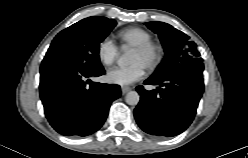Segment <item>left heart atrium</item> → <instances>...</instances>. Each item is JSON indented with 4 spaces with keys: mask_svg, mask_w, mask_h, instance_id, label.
Wrapping results in <instances>:
<instances>
[{
    "mask_svg": "<svg viewBox=\"0 0 248 158\" xmlns=\"http://www.w3.org/2000/svg\"><path fill=\"white\" fill-rule=\"evenodd\" d=\"M146 66L136 62L127 67H116L108 71L106 79L109 83L129 85L141 80L145 75Z\"/></svg>",
    "mask_w": 248,
    "mask_h": 158,
    "instance_id": "obj_1",
    "label": "left heart atrium"
}]
</instances>
